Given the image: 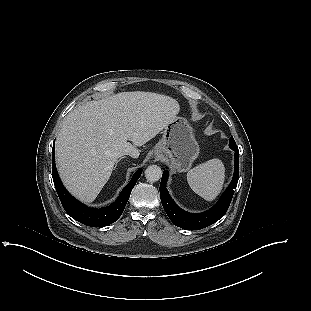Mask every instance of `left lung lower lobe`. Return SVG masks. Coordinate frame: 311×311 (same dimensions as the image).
Masks as SVG:
<instances>
[{
    "label": "left lung lower lobe",
    "mask_w": 311,
    "mask_h": 311,
    "mask_svg": "<svg viewBox=\"0 0 311 311\" xmlns=\"http://www.w3.org/2000/svg\"><path fill=\"white\" fill-rule=\"evenodd\" d=\"M229 147L235 152L233 179L217 204L203 213H189L176 205L166 189L169 172H163L160 183L161 202L168 217L176 226L187 230H199L215 223L225 215L232 200L234 189L237 187L239 177V150L234 144L229 145Z\"/></svg>",
    "instance_id": "obj_1"
}]
</instances>
